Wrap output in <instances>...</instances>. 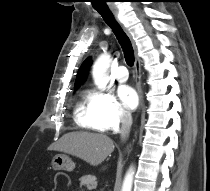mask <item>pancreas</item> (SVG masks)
<instances>
[{"label": "pancreas", "mask_w": 210, "mask_h": 191, "mask_svg": "<svg viewBox=\"0 0 210 191\" xmlns=\"http://www.w3.org/2000/svg\"><path fill=\"white\" fill-rule=\"evenodd\" d=\"M80 186H84L88 190L96 189L97 179L93 175H86L80 178Z\"/></svg>", "instance_id": "1"}]
</instances>
